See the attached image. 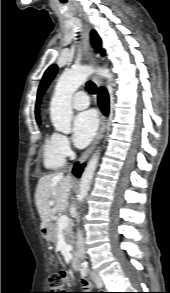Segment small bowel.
Segmentation results:
<instances>
[{"label": "small bowel", "instance_id": "c3829d8e", "mask_svg": "<svg viewBox=\"0 0 170 293\" xmlns=\"http://www.w3.org/2000/svg\"><path fill=\"white\" fill-rule=\"evenodd\" d=\"M70 285L72 286L73 282H71ZM81 286H82L83 289H89L90 288V285H89L88 281L85 278L81 279ZM92 293H96V292H92Z\"/></svg>", "mask_w": 170, "mask_h": 293}]
</instances>
